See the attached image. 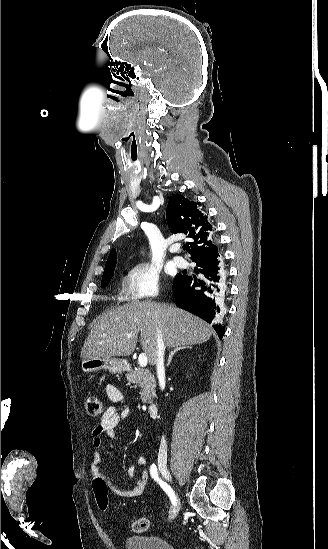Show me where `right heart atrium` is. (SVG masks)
I'll return each mask as SVG.
<instances>
[{
	"label": "right heart atrium",
	"instance_id": "right-heart-atrium-1",
	"mask_svg": "<svg viewBox=\"0 0 328 549\" xmlns=\"http://www.w3.org/2000/svg\"><path fill=\"white\" fill-rule=\"evenodd\" d=\"M159 290L156 267L149 262L128 266L121 276V292L126 303H154Z\"/></svg>",
	"mask_w": 328,
	"mask_h": 549
}]
</instances>
